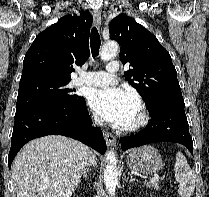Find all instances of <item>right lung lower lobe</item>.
Instances as JSON below:
<instances>
[{
  "label": "right lung lower lobe",
  "instance_id": "obj_1",
  "mask_svg": "<svg viewBox=\"0 0 209 197\" xmlns=\"http://www.w3.org/2000/svg\"><path fill=\"white\" fill-rule=\"evenodd\" d=\"M85 99L46 103L16 110L8 165L28 141L45 135H64L83 142L101 154L106 151L102 131L91 127Z\"/></svg>",
  "mask_w": 209,
  "mask_h": 197
}]
</instances>
